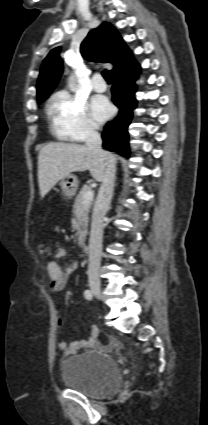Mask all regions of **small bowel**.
Wrapping results in <instances>:
<instances>
[{
    "label": "small bowel",
    "mask_w": 208,
    "mask_h": 425,
    "mask_svg": "<svg viewBox=\"0 0 208 425\" xmlns=\"http://www.w3.org/2000/svg\"><path fill=\"white\" fill-rule=\"evenodd\" d=\"M65 256L66 250L60 247L55 252V260L49 261L46 265V270L49 276L50 288L54 293L62 291L68 285L69 277L76 268L75 264L63 266L58 263L57 260ZM61 321V317L57 316V322L61 323ZM98 334L99 330L97 326L93 325L90 329V333L87 339H80L72 342L62 340L58 343V347L65 354L70 355L76 353L81 349L95 346L98 342Z\"/></svg>",
    "instance_id": "small-bowel-1"
}]
</instances>
